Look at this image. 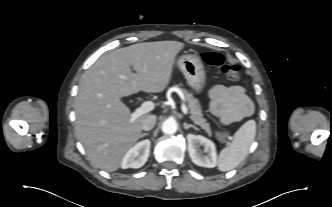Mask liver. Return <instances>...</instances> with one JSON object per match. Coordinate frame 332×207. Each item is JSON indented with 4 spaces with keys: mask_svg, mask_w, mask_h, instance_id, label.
I'll use <instances>...</instances> for the list:
<instances>
[{
    "mask_svg": "<svg viewBox=\"0 0 332 207\" xmlns=\"http://www.w3.org/2000/svg\"><path fill=\"white\" fill-rule=\"evenodd\" d=\"M183 48L177 41L138 43L103 54L83 73L75 99V130L96 167L118 170L127 150L141 136L148 115L131 123L130 109L120 99L139 91H164Z\"/></svg>",
    "mask_w": 332,
    "mask_h": 207,
    "instance_id": "1",
    "label": "liver"
}]
</instances>
